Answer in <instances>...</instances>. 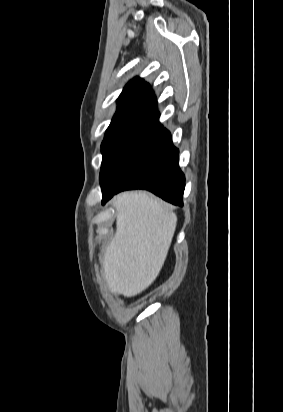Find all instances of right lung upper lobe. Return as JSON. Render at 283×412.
I'll use <instances>...</instances> for the list:
<instances>
[{
  "mask_svg": "<svg viewBox=\"0 0 283 412\" xmlns=\"http://www.w3.org/2000/svg\"><path fill=\"white\" fill-rule=\"evenodd\" d=\"M156 98L148 83L140 78L130 81L119 96L118 108L114 117L124 115L157 114Z\"/></svg>",
  "mask_w": 283,
  "mask_h": 412,
  "instance_id": "right-lung-upper-lobe-1",
  "label": "right lung upper lobe"
}]
</instances>
